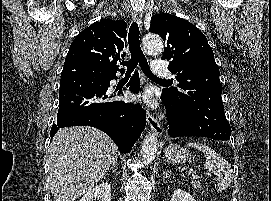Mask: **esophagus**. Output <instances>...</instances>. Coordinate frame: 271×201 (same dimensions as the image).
<instances>
[{
    "label": "esophagus",
    "instance_id": "obj_1",
    "mask_svg": "<svg viewBox=\"0 0 271 201\" xmlns=\"http://www.w3.org/2000/svg\"><path fill=\"white\" fill-rule=\"evenodd\" d=\"M132 18L138 24V26L142 28V13L134 11L132 12ZM145 114L146 121L152 132H154L158 136H161L164 131L161 123L149 112L148 109L145 110Z\"/></svg>",
    "mask_w": 271,
    "mask_h": 201
}]
</instances>
